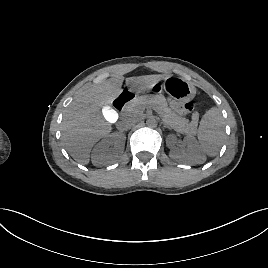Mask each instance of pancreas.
I'll return each mask as SVG.
<instances>
[{"label":"pancreas","instance_id":"pancreas-1","mask_svg":"<svg viewBox=\"0 0 268 268\" xmlns=\"http://www.w3.org/2000/svg\"><path fill=\"white\" fill-rule=\"evenodd\" d=\"M147 106L154 107L168 128L189 136L196 134L197 121L189 122L188 119L173 112L168 107L167 101L163 95L139 96L129 103L128 111L132 114H141Z\"/></svg>","mask_w":268,"mask_h":268}]
</instances>
